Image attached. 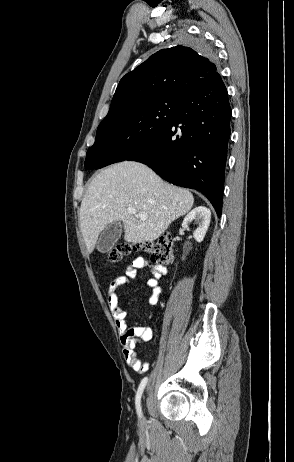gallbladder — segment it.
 <instances>
[{
  "mask_svg": "<svg viewBox=\"0 0 294 462\" xmlns=\"http://www.w3.org/2000/svg\"><path fill=\"white\" fill-rule=\"evenodd\" d=\"M122 233V225L119 222L110 224L99 236L97 250L100 253L109 252L118 241Z\"/></svg>",
  "mask_w": 294,
  "mask_h": 462,
  "instance_id": "gallbladder-1",
  "label": "gallbladder"
}]
</instances>
